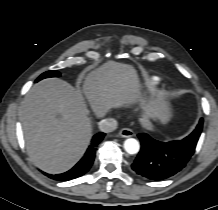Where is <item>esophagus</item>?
<instances>
[{
  "mask_svg": "<svg viewBox=\"0 0 218 210\" xmlns=\"http://www.w3.org/2000/svg\"><path fill=\"white\" fill-rule=\"evenodd\" d=\"M119 135L121 137H124V138H127V137H132L134 136V132L129 129V128H122L120 131H119Z\"/></svg>",
  "mask_w": 218,
  "mask_h": 210,
  "instance_id": "1",
  "label": "esophagus"
}]
</instances>
